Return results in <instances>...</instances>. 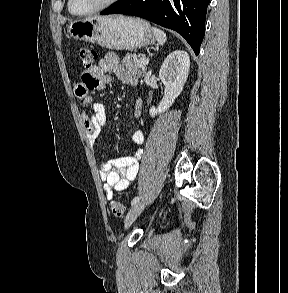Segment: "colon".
<instances>
[{
	"instance_id": "5ec220e1",
	"label": "colon",
	"mask_w": 288,
	"mask_h": 293,
	"mask_svg": "<svg viewBox=\"0 0 288 293\" xmlns=\"http://www.w3.org/2000/svg\"><path fill=\"white\" fill-rule=\"evenodd\" d=\"M78 54L85 71H90L95 67V63L98 57L97 53L93 49L88 47H80ZM110 211L116 218H123L126 208L122 203L118 201H112L110 204Z\"/></svg>"
}]
</instances>
